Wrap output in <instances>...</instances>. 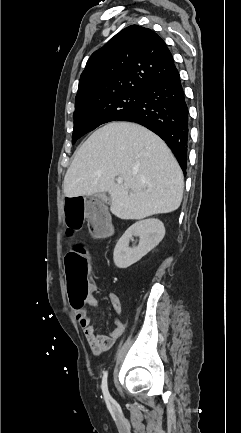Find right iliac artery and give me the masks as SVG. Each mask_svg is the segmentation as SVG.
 <instances>
[{"label":"right iliac artery","instance_id":"1","mask_svg":"<svg viewBox=\"0 0 241 433\" xmlns=\"http://www.w3.org/2000/svg\"><path fill=\"white\" fill-rule=\"evenodd\" d=\"M107 376H108V372L105 371L103 374L102 384H101L102 392H103V395H104L106 402H108L109 400L112 399L110 394H109V391H108Z\"/></svg>","mask_w":241,"mask_h":433}]
</instances>
